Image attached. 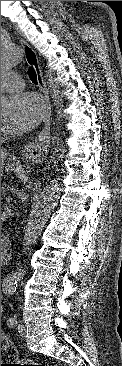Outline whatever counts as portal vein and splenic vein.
I'll return each instance as SVG.
<instances>
[{"mask_svg":"<svg viewBox=\"0 0 122 366\" xmlns=\"http://www.w3.org/2000/svg\"><path fill=\"white\" fill-rule=\"evenodd\" d=\"M5 200H6V201H9V200H10V196H7V197L5 198Z\"/></svg>","mask_w":122,"mask_h":366,"instance_id":"obj_1","label":"portal vein and splenic vein"}]
</instances>
